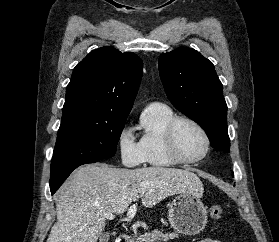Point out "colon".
I'll return each instance as SVG.
<instances>
[{
	"label": "colon",
	"mask_w": 279,
	"mask_h": 242,
	"mask_svg": "<svg viewBox=\"0 0 279 242\" xmlns=\"http://www.w3.org/2000/svg\"><path fill=\"white\" fill-rule=\"evenodd\" d=\"M209 213L212 220L219 221L223 216V208L218 204H214L210 207Z\"/></svg>",
	"instance_id": "5ec220e1"
}]
</instances>
